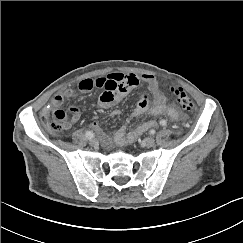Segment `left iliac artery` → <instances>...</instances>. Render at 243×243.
Masks as SVG:
<instances>
[{
	"label": "left iliac artery",
	"mask_w": 243,
	"mask_h": 243,
	"mask_svg": "<svg viewBox=\"0 0 243 243\" xmlns=\"http://www.w3.org/2000/svg\"><path fill=\"white\" fill-rule=\"evenodd\" d=\"M160 125L161 126H166L167 125L166 120H164V119L160 120Z\"/></svg>",
	"instance_id": "obj_1"
}]
</instances>
